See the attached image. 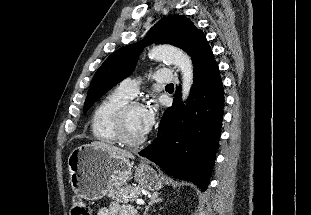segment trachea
Here are the masks:
<instances>
[{
	"instance_id": "3493384b",
	"label": "trachea",
	"mask_w": 311,
	"mask_h": 215,
	"mask_svg": "<svg viewBox=\"0 0 311 215\" xmlns=\"http://www.w3.org/2000/svg\"><path fill=\"white\" fill-rule=\"evenodd\" d=\"M167 87H173V84H168Z\"/></svg>"
}]
</instances>
